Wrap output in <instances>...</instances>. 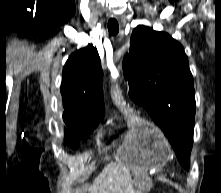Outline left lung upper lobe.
Listing matches in <instances>:
<instances>
[{
  "label": "left lung upper lobe",
  "instance_id": "5c2ea615",
  "mask_svg": "<svg viewBox=\"0 0 221 193\" xmlns=\"http://www.w3.org/2000/svg\"><path fill=\"white\" fill-rule=\"evenodd\" d=\"M123 70L130 97L148 111L188 169L196 103L183 46L165 32L140 25L132 33Z\"/></svg>",
  "mask_w": 221,
  "mask_h": 193
}]
</instances>
